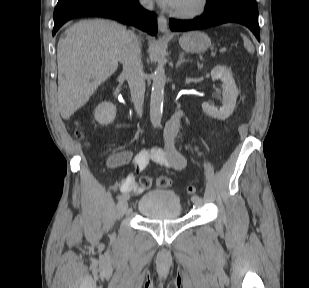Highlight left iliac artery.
Here are the masks:
<instances>
[{
    "label": "left iliac artery",
    "instance_id": "obj_1",
    "mask_svg": "<svg viewBox=\"0 0 309 288\" xmlns=\"http://www.w3.org/2000/svg\"><path fill=\"white\" fill-rule=\"evenodd\" d=\"M196 199H199V197H198V196H193V197L191 198L192 201H194V200H196ZM200 199H201V198H200Z\"/></svg>",
    "mask_w": 309,
    "mask_h": 288
}]
</instances>
